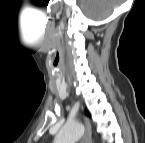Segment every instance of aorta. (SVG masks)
Listing matches in <instances>:
<instances>
[{"label": "aorta", "mask_w": 145, "mask_h": 143, "mask_svg": "<svg viewBox=\"0 0 145 143\" xmlns=\"http://www.w3.org/2000/svg\"><path fill=\"white\" fill-rule=\"evenodd\" d=\"M84 127L79 122L66 124L57 134L56 143H76L83 135Z\"/></svg>", "instance_id": "1"}]
</instances>
